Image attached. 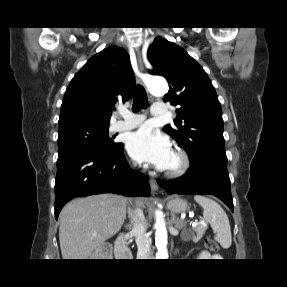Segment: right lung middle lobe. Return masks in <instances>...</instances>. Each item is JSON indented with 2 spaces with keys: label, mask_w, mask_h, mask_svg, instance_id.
<instances>
[{
  "label": "right lung middle lobe",
  "mask_w": 287,
  "mask_h": 287,
  "mask_svg": "<svg viewBox=\"0 0 287 287\" xmlns=\"http://www.w3.org/2000/svg\"><path fill=\"white\" fill-rule=\"evenodd\" d=\"M108 125L88 122L71 123L59 127L58 156L73 151H89L112 155L121 147L108 135Z\"/></svg>",
  "instance_id": "obj_1"
}]
</instances>
